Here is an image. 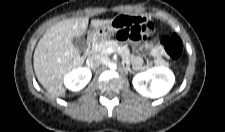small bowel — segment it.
<instances>
[{
	"label": "small bowel",
	"instance_id": "c3829d8e",
	"mask_svg": "<svg viewBox=\"0 0 225 132\" xmlns=\"http://www.w3.org/2000/svg\"><path fill=\"white\" fill-rule=\"evenodd\" d=\"M146 22V19L140 16H124L120 20V25L122 27H130L133 25L143 24ZM136 48L140 51L149 50L152 57L151 62H145L143 58L139 55H134L132 57V64L136 70L144 71L151 66H162L165 63L164 59V50L159 44L153 42L151 44L140 43L136 45Z\"/></svg>",
	"mask_w": 225,
	"mask_h": 132
}]
</instances>
